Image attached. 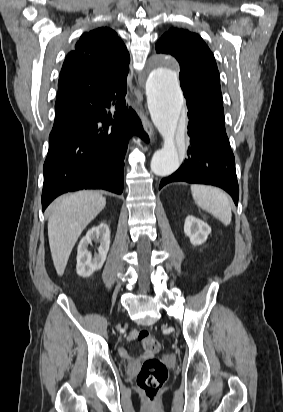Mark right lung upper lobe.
<instances>
[{
    "instance_id": "cb5924a9",
    "label": "right lung upper lobe",
    "mask_w": 283,
    "mask_h": 412,
    "mask_svg": "<svg viewBox=\"0 0 283 412\" xmlns=\"http://www.w3.org/2000/svg\"><path fill=\"white\" fill-rule=\"evenodd\" d=\"M129 62V53L113 30L102 27L84 33L64 61L62 70L66 65L69 77H59L56 115L91 98L101 88H124Z\"/></svg>"
}]
</instances>
